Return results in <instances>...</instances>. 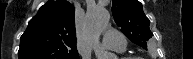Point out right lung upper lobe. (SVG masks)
Returning a JSON list of instances; mask_svg holds the SVG:
<instances>
[{"instance_id":"cb5924a9","label":"right lung upper lobe","mask_w":193,"mask_h":59,"mask_svg":"<svg viewBox=\"0 0 193 59\" xmlns=\"http://www.w3.org/2000/svg\"><path fill=\"white\" fill-rule=\"evenodd\" d=\"M75 9L66 0H49L21 36L18 59H79Z\"/></svg>"}]
</instances>
